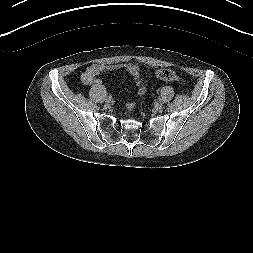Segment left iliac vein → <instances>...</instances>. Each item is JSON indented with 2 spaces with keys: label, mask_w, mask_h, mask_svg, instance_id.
<instances>
[{
  "label": "left iliac vein",
  "mask_w": 253,
  "mask_h": 253,
  "mask_svg": "<svg viewBox=\"0 0 253 253\" xmlns=\"http://www.w3.org/2000/svg\"><path fill=\"white\" fill-rule=\"evenodd\" d=\"M156 107H157V108H161V107H162V104L156 103Z\"/></svg>",
  "instance_id": "obj_1"
}]
</instances>
